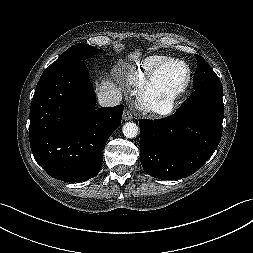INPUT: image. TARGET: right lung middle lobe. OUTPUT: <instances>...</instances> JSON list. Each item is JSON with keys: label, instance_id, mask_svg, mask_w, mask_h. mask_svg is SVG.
I'll return each instance as SVG.
<instances>
[{"label": "right lung middle lobe", "instance_id": "dd1d6c3e", "mask_svg": "<svg viewBox=\"0 0 253 253\" xmlns=\"http://www.w3.org/2000/svg\"><path fill=\"white\" fill-rule=\"evenodd\" d=\"M101 49H95L94 47L88 45L79 43L71 48H69L67 51H65L55 62H53L44 72L43 74L52 71L54 69L61 68L63 66L69 65L73 62L79 61L82 58L89 57L93 54L100 53Z\"/></svg>", "mask_w": 253, "mask_h": 253}]
</instances>
